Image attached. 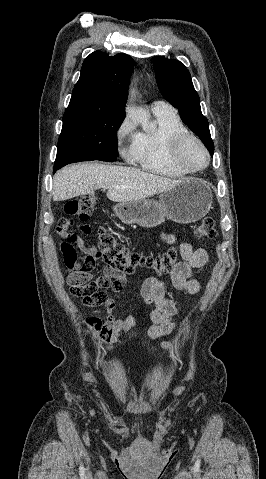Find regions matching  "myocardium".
Segmentation results:
<instances>
[{"label":"myocardium","mask_w":266,"mask_h":479,"mask_svg":"<svg viewBox=\"0 0 266 479\" xmlns=\"http://www.w3.org/2000/svg\"><path fill=\"white\" fill-rule=\"evenodd\" d=\"M195 143L202 150L205 156V162L200 167L191 168L183 160L182 153L184 148L190 144ZM168 154L170 161L180 170L186 173H197L203 171L210 163V153L205 144L196 136L185 133L175 135L171 138L169 143Z\"/></svg>","instance_id":"1"}]
</instances>
